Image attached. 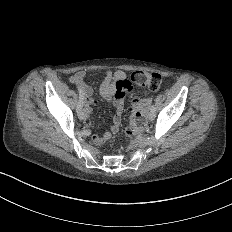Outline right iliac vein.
<instances>
[{
	"label": "right iliac vein",
	"mask_w": 232,
	"mask_h": 232,
	"mask_svg": "<svg viewBox=\"0 0 232 232\" xmlns=\"http://www.w3.org/2000/svg\"><path fill=\"white\" fill-rule=\"evenodd\" d=\"M78 119H79V120H84V119H85V113H84L83 111H80V112L78 113Z\"/></svg>",
	"instance_id": "right-iliac-vein-1"
}]
</instances>
